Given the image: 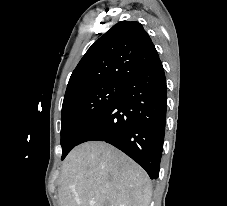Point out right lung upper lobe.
<instances>
[{
	"mask_svg": "<svg viewBox=\"0 0 227 206\" xmlns=\"http://www.w3.org/2000/svg\"><path fill=\"white\" fill-rule=\"evenodd\" d=\"M158 60L155 46L143 26L136 21H121L85 53L69 79L64 98L103 82H124Z\"/></svg>",
	"mask_w": 227,
	"mask_h": 206,
	"instance_id": "1",
	"label": "right lung upper lobe"
}]
</instances>
